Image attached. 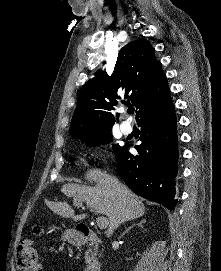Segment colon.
I'll return each mask as SVG.
<instances>
[{
  "mask_svg": "<svg viewBox=\"0 0 221 271\" xmlns=\"http://www.w3.org/2000/svg\"><path fill=\"white\" fill-rule=\"evenodd\" d=\"M42 232L43 228L41 226L33 228L35 235H41ZM17 257L19 271H42V265L33 241L29 239L20 241L17 248Z\"/></svg>",
  "mask_w": 221,
  "mask_h": 271,
  "instance_id": "obj_1",
  "label": "colon"
}]
</instances>
